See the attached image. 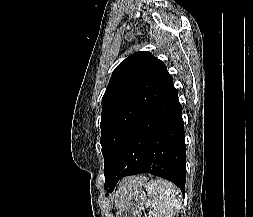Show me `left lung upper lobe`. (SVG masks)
Masks as SVG:
<instances>
[{
	"mask_svg": "<svg viewBox=\"0 0 253 217\" xmlns=\"http://www.w3.org/2000/svg\"><path fill=\"white\" fill-rule=\"evenodd\" d=\"M172 86L173 78L163 62L148 51L136 52L116 67L102 98L100 142L105 182L126 132Z\"/></svg>",
	"mask_w": 253,
	"mask_h": 217,
	"instance_id": "left-lung-upper-lobe-1",
	"label": "left lung upper lobe"
}]
</instances>
